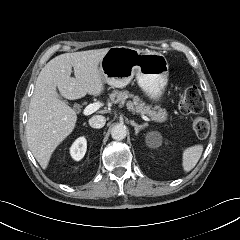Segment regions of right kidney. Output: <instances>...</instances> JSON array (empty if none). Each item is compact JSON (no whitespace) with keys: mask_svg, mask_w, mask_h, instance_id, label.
Segmentation results:
<instances>
[{"mask_svg":"<svg viewBox=\"0 0 240 240\" xmlns=\"http://www.w3.org/2000/svg\"><path fill=\"white\" fill-rule=\"evenodd\" d=\"M87 149V141L85 137H79L71 146L70 154L72 158L76 161L81 160Z\"/></svg>","mask_w":240,"mask_h":240,"instance_id":"obj_1","label":"right kidney"}]
</instances>
